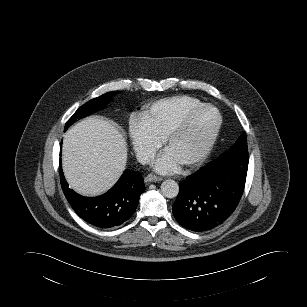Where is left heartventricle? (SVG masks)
<instances>
[{"mask_svg":"<svg viewBox=\"0 0 307 307\" xmlns=\"http://www.w3.org/2000/svg\"><path fill=\"white\" fill-rule=\"evenodd\" d=\"M217 121L210 109H201L189 119L184 131L168 146L169 152L179 163L192 157L204 144Z\"/></svg>","mask_w":307,"mask_h":307,"instance_id":"1","label":"left heart ventricle"}]
</instances>
